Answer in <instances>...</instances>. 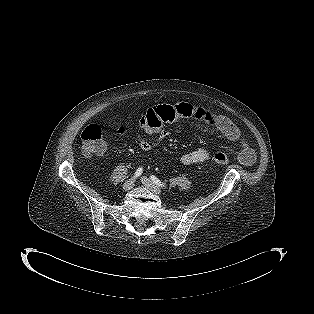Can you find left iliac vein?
Here are the masks:
<instances>
[{"mask_svg": "<svg viewBox=\"0 0 314 314\" xmlns=\"http://www.w3.org/2000/svg\"><path fill=\"white\" fill-rule=\"evenodd\" d=\"M142 183L144 186H146L148 189H150L153 193L160 195L162 193L161 189L155 185L150 179L147 177L143 176L141 178Z\"/></svg>", "mask_w": 314, "mask_h": 314, "instance_id": "left-iliac-vein-1", "label": "left iliac vein"}]
</instances>
